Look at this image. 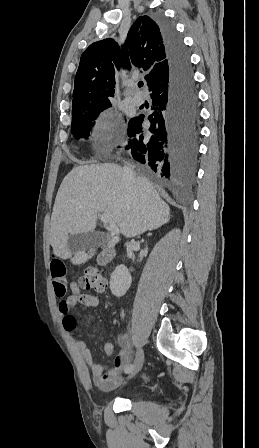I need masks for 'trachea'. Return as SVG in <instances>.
<instances>
[{"instance_id":"1","label":"trachea","mask_w":259,"mask_h":448,"mask_svg":"<svg viewBox=\"0 0 259 448\" xmlns=\"http://www.w3.org/2000/svg\"><path fill=\"white\" fill-rule=\"evenodd\" d=\"M138 87H143V82L142 81L138 82Z\"/></svg>"}]
</instances>
